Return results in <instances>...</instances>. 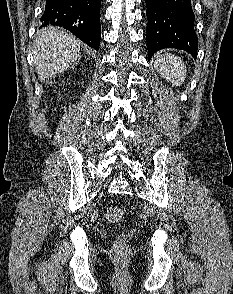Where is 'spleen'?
I'll list each match as a JSON object with an SVG mask.
<instances>
[{"instance_id": "1", "label": "spleen", "mask_w": 233, "mask_h": 294, "mask_svg": "<svg viewBox=\"0 0 233 294\" xmlns=\"http://www.w3.org/2000/svg\"><path fill=\"white\" fill-rule=\"evenodd\" d=\"M154 66L162 77L175 86H180L186 78L187 70L183 60L172 54H157Z\"/></svg>"}]
</instances>
